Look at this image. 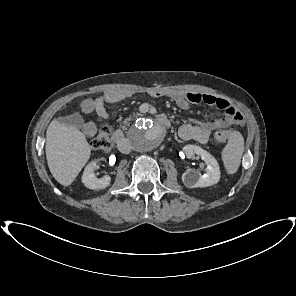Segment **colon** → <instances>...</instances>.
<instances>
[{
  "label": "colon",
  "instance_id": "obj_1",
  "mask_svg": "<svg viewBox=\"0 0 296 296\" xmlns=\"http://www.w3.org/2000/svg\"><path fill=\"white\" fill-rule=\"evenodd\" d=\"M234 130V126H229L227 129L219 130L214 135L216 143L225 142ZM92 147L99 151L107 153L112 149V142L110 137V129L104 125L100 128L91 142Z\"/></svg>",
  "mask_w": 296,
  "mask_h": 296
}]
</instances>
